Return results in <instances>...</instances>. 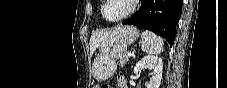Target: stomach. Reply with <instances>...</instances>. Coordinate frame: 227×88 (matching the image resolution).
Instances as JSON below:
<instances>
[{"label":"stomach","instance_id":"stomach-1","mask_svg":"<svg viewBox=\"0 0 227 88\" xmlns=\"http://www.w3.org/2000/svg\"><path fill=\"white\" fill-rule=\"evenodd\" d=\"M139 36L133 26H118L105 37L99 45V55L93 63V75L98 80L109 78L116 69L115 62L120 59L127 47Z\"/></svg>","mask_w":227,"mask_h":88}]
</instances>
